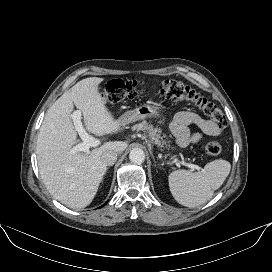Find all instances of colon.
Returning <instances> with one entry per match:
<instances>
[{"label": "colon", "instance_id": "colon-1", "mask_svg": "<svg viewBox=\"0 0 272 272\" xmlns=\"http://www.w3.org/2000/svg\"><path fill=\"white\" fill-rule=\"evenodd\" d=\"M159 92L168 99L194 104L219 129L226 127L227 119L224 112L216 104L201 96L187 84L176 80H165L161 83ZM144 93L145 87L138 80L114 79L105 85L101 97L106 102H119L125 99L136 98ZM220 152L221 145L217 141H211L205 146V153L210 157L217 156Z\"/></svg>", "mask_w": 272, "mask_h": 272}]
</instances>
